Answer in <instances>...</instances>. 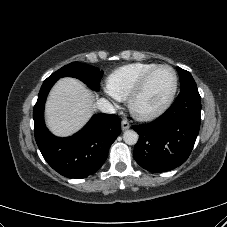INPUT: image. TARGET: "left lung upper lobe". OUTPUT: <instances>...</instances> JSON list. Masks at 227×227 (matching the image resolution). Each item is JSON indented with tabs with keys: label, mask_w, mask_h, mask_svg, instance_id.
<instances>
[{
	"label": "left lung upper lobe",
	"mask_w": 227,
	"mask_h": 227,
	"mask_svg": "<svg viewBox=\"0 0 227 227\" xmlns=\"http://www.w3.org/2000/svg\"><path fill=\"white\" fill-rule=\"evenodd\" d=\"M177 70H178V73L180 76L181 89H183L187 86H190V85H196L193 77L191 76V74L188 71H186L180 67H177Z\"/></svg>",
	"instance_id": "obj_1"
}]
</instances>
